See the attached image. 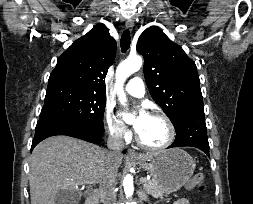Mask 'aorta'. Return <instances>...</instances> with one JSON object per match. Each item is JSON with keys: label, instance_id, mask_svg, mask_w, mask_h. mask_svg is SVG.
Returning a JSON list of instances; mask_svg holds the SVG:
<instances>
[{"label": "aorta", "instance_id": "obj_1", "mask_svg": "<svg viewBox=\"0 0 253 204\" xmlns=\"http://www.w3.org/2000/svg\"><path fill=\"white\" fill-rule=\"evenodd\" d=\"M143 60L140 56H130L123 61L116 69V83L115 89L117 91L119 101L125 105L126 95L123 90V84L126 79L138 71L142 66ZM123 119L126 122L133 121L134 116L131 114H124ZM124 191L127 197H131L134 192L133 177L127 175L123 180Z\"/></svg>", "mask_w": 253, "mask_h": 204}]
</instances>
